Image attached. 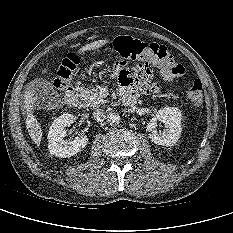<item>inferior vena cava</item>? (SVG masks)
I'll use <instances>...</instances> for the list:
<instances>
[{
	"label": "inferior vena cava",
	"mask_w": 233,
	"mask_h": 233,
	"mask_svg": "<svg viewBox=\"0 0 233 233\" xmlns=\"http://www.w3.org/2000/svg\"><path fill=\"white\" fill-rule=\"evenodd\" d=\"M93 117H94L95 121H97V122H103L104 119L106 118V114H105V112H104L103 109H96L93 112Z\"/></svg>",
	"instance_id": "1"
}]
</instances>
